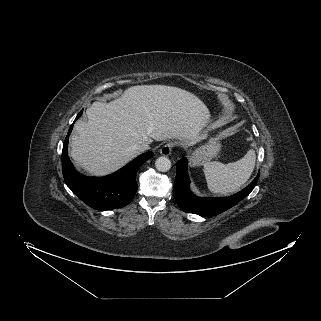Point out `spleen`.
<instances>
[{
  "label": "spleen",
  "instance_id": "obj_1",
  "mask_svg": "<svg viewBox=\"0 0 321 321\" xmlns=\"http://www.w3.org/2000/svg\"><path fill=\"white\" fill-rule=\"evenodd\" d=\"M255 161V151L250 149L242 159L226 165L217 161L206 162L204 174L208 189L222 195L235 192L250 178Z\"/></svg>",
  "mask_w": 321,
  "mask_h": 321
}]
</instances>
